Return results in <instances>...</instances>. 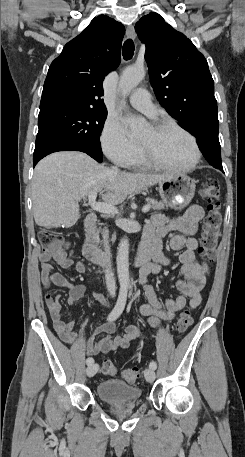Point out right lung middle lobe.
<instances>
[{
  "label": "right lung middle lobe",
  "mask_w": 245,
  "mask_h": 457,
  "mask_svg": "<svg viewBox=\"0 0 245 457\" xmlns=\"http://www.w3.org/2000/svg\"><path fill=\"white\" fill-rule=\"evenodd\" d=\"M106 117V109L80 105L40 112L35 151L50 145H72L102 162L99 136Z\"/></svg>",
  "instance_id": "obj_1"
}]
</instances>
